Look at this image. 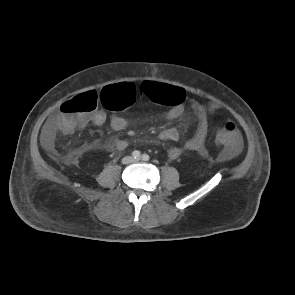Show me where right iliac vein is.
I'll use <instances>...</instances> for the list:
<instances>
[{"instance_id": "1", "label": "right iliac vein", "mask_w": 295, "mask_h": 295, "mask_svg": "<svg viewBox=\"0 0 295 295\" xmlns=\"http://www.w3.org/2000/svg\"><path fill=\"white\" fill-rule=\"evenodd\" d=\"M126 160H127V162H130L131 161V158H127Z\"/></svg>"}]
</instances>
